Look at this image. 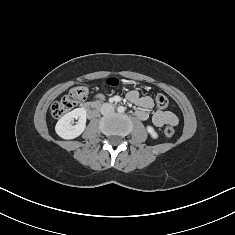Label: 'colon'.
I'll list each match as a JSON object with an SVG mask.
<instances>
[{
	"instance_id": "colon-1",
	"label": "colon",
	"mask_w": 235,
	"mask_h": 235,
	"mask_svg": "<svg viewBox=\"0 0 235 235\" xmlns=\"http://www.w3.org/2000/svg\"><path fill=\"white\" fill-rule=\"evenodd\" d=\"M107 84L112 87H117L120 82L117 78H110L107 80ZM87 95L88 89L86 86L80 85L72 88L67 95L52 104V116L55 118L62 117L73 110L80 101L85 100ZM155 100L157 107L161 110H165L169 105V100L165 95L159 94ZM163 133L165 137L170 138L175 134V129L172 126H168L164 129Z\"/></svg>"
}]
</instances>
